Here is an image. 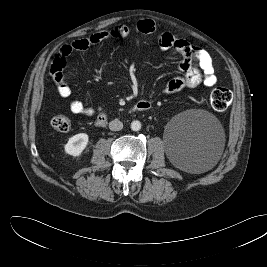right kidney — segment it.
Returning a JSON list of instances; mask_svg holds the SVG:
<instances>
[{"label":"right kidney","mask_w":267,"mask_h":267,"mask_svg":"<svg viewBox=\"0 0 267 267\" xmlns=\"http://www.w3.org/2000/svg\"><path fill=\"white\" fill-rule=\"evenodd\" d=\"M86 133H79L71 137L65 145V152L72 156H79L88 144Z\"/></svg>","instance_id":"right-kidney-1"}]
</instances>
